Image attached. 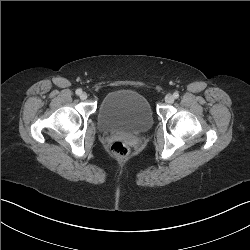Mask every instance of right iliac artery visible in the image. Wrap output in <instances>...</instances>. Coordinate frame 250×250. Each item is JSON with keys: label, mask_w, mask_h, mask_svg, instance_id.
I'll use <instances>...</instances> for the list:
<instances>
[{"label": "right iliac artery", "mask_w": 250, "mask_h": 250, "mask_svg": "<svg viewBox=\"0 0 250 250\" xmlns=\"http://www.w3.org/2000/svg\"><path fill=\"white\" fill-rule=\"evenodd\" d=\"M81 93H82V90H81V89H77V90H76V94H77V95H80Z\"/></svg>", "instance_id": "82829eb1"}]
</instances>
